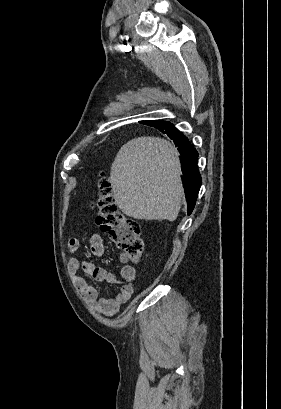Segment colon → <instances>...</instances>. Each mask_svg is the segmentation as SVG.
Listing matches in <instances>:
<instances>
[{
  "mask_svg": "<svg viewBox=\"0 0 281 409\" xmlns=\"http://www.w3.org/2000/svg\"><path fill=\"white\" fill-rule=\"evenodd\" d=\"M96 225L116 242L125 260L138 262L143 253L140 225L117 207L111 185L103 182L95 201Z\"/></svg>",
  "mask_w": 281,
  "mask_h": 409,
  "instance_id": "5ec220e1",
  "label": "colon"
}]
</instances>
